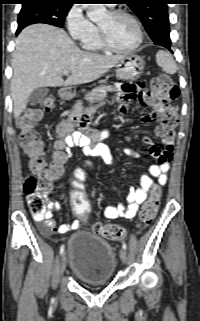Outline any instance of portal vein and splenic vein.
I'll list each match as a JSON object with an SVG mask.
<instances>
[{
  "mask_svg": "<svg viewBox=\"0 0 200 321\" xmlns=\"http://www.w3.org/2000/svg\"><path fill=\"white\" fill-rule=\"evenodd\" d=\"M63 73H64V75H68L69 74V70H65Z\"/></svg>",
  "mask_w": 200,
  "mask_h": 321,
  "instance_id": "obj_1",
  "label": "portal vein and splenic vein"
}]
</instances>
